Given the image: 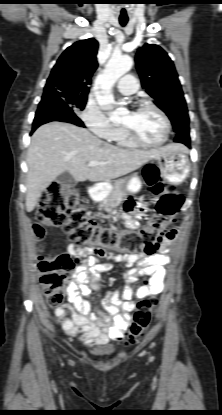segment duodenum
<instances>
[{
  "label": "duodenum",
  "instance_id": "duodenum-1",
  "mask_svg": "<svg viewBox=\"0 0 222 415\" xmlns=\"http://www.w3.org/2000/svg\"><path fill=\"white\" fill-rule=\"evenodd\" d=\"M87 192H88V195L90 197H93L96 193V188L95 187H89Z\"/></svg>",
  "mask_w": 222,
  "mask_h": 415
}]
</instances>
